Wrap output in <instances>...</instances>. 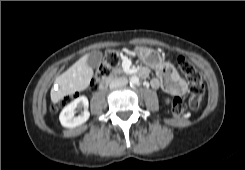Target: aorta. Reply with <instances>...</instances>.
<instances>
[{
	"instance_id": "762f6f07",
	"label": "aorta",
	"mask_w": 245,
	"mask_h": 170,
	"mask_svg": "<svg viewBox=\"0 0 245 170\" xmlns=\"http://www.w3.org/2000/svg\"><path fill=\"white\" fill-rule=\"evenodd\" d=\"M140 79L138 76L134 75L130 78V84L131 85H139Z\"/></svg>"
}]
</instances>
